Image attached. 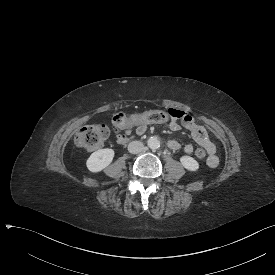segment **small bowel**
<instances>
[{"mask_svg":"<svg viewBox=\"0 0 275 275\" xmlns=\"http://www.w3.org/2000/svg\"><path fill=\"white\" fill-rule=\"evenodd\" d=\"M167 112L169 116L173 118L169 125L170 129L172 131H178L182 123L185 126V128L191 132V135L193 139L196 141V143L200 145L202 148H204L208 153V166L211 168H215L219 163V159L216 156L215 144L209 138L206 130L194 121L193 112L190 110L187 112L182 110H176L172 107L169 108ZM133 125L137 126L140 131L144 129L143 123H133L130 124L127 128H130ZM167 145L171 150L181 149V143L177 140H169ZM183 149L185 153L191 154L194 148L192 144H186Z\"/></svg>","mask_w":275,"mask_h":275,"instance_id":"1","label":"small bowel"}]
</instances>
